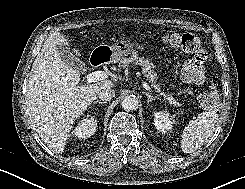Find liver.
<instances>
[{
    "label": "liver",
    "instance_id": "obj_1",
    "mask_svg": "<svg viewBox=\"0 0 245 189\" xmlns=\"http://www.w3.org/2000/svg\"><path fill=\"white\" fill-rule=\"evenodd\" d=\"M59 45L67 46L68 39L60 32L49 35L33 63L26 93L33 128L56 153L63 152L73 123L99 91L115 86L109 79L78 85L80 74L61 59Z\"/></svg>",
    "mask_w": 245,
    "mask_h": 189
}]
</instances>
